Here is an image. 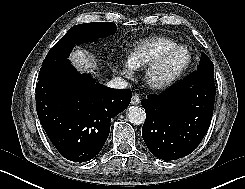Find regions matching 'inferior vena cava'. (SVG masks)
<instances>
[{
	"instance_id": "inferior-vena-cava-1",
	"label": "inferior vena cava",
	"mask_w": 245,
	"mask_h": 189,
	"mask_svg": "<svg viewBox=\"0 0 245 189\" xmlns=\"http://www.w3.org/2000/svg\"><path fill=\"white\" fill-rule=\"evenodd\" d=\"M128 83L121 77H115L107 83V86L115 89H124Z\"/></svg>"
}]
</instances>
